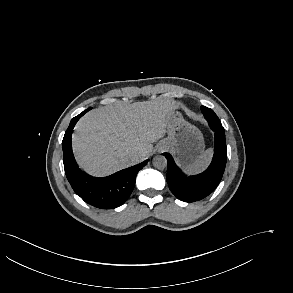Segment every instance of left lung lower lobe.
Wrapping results in <instances>:
<instances>
[{
  "instance_id": "obj_1",
  "label": "left lung lower lobe",
  "mask_w": 293,
  "mask_h": 293,
  "mask_svg": "<svg viewBox=\"0 0 293 293\" xmlns=\"http://www.w3.org/2000/svg\"><path fill=\"white\" fill-rule=\"evenodd\" d=\"M209 125L215 132V148L212 162L203 173L187 177L176 166L172 156L164 153L168 162L166 174L168 186L182 201L194 202L205 198L216 189L222 179L227 159L225 130L221 123H209Z\"/></svg>"
}]
</instances>
